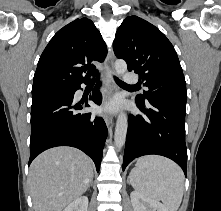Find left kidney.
Segmentation results:
<instances>
[{
  "instance_id": "5707ae66",
  "label": "left kidney",
  "mask_w": 221,
  "mask_h": 211,
  "mask_svg": "<svg viewBox=\"0 0 221 211\" xmlns=\"http://www.w3.org/2000/svg\"><path fill=\"white\" fill-rule=\"evenodd\" d=\"M130 197L134 211H168L159 201L137 191L131 192Z\"/></svg>"
}]
</instances>
